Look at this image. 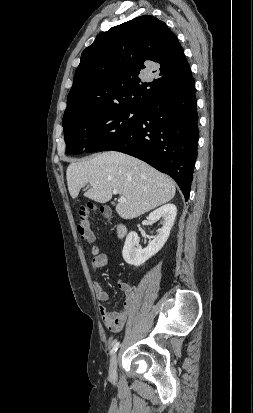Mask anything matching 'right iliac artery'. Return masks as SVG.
<instances>
[{"mask_svg": "<svg viewBox=\"0 0 253 413\" xmlns=\"http://www.w3.org/2000/svg\"><path fill=\"white\" fill-rule=\"evenodd\" d=\"M118 347H119V342H117V343L113 346V348H112V350H111V354L115 353V352L117 351Z\"/></svg>", "mask_w": 253, "mask_h": 413, "instance_id": "obj_1", "label": "right iliac artery"}]
</instances>
